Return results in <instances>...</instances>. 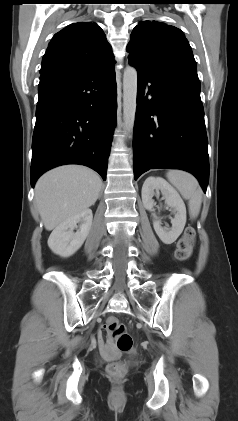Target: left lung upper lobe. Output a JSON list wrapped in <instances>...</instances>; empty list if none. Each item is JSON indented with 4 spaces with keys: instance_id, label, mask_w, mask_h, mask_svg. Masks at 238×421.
I'll list each match as a JSON object with an SVG mask.
<instances>
[{
    "instance_id": "obj_1",
    "label": "left lung upper lobe",
    "mask_w": 238,
    "mask_h": 421,
    "mask_svg": "<svg viewBox=\"0 0 238 421\" xmlns=\"http://www.w3.org/2000/svg\"><path fill=\"white\" fill-rule=\"evenodd\" d=\"M129 63L152 74L196 70V61L183 32L157 21H142L132 31L126 48Z\"/></svg>"
}]
</instances>
